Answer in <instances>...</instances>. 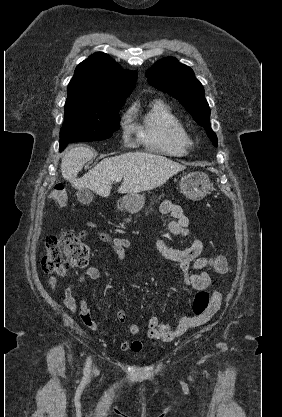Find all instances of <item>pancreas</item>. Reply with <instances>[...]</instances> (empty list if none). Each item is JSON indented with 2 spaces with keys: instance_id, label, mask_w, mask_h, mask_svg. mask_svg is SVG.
Segmentation results:
<instances>
[{
  "instance_id": "obj_1",
  "label": "pancreas",
  "mask_w": 282,
  "mask_h": 417,
  "mask_svg": "<svg viewBox=\"0 0 282 417\" xmlns=\"http://www.w3.org/2000/svg\"><path fill=\"white\" fill-rule=\"evenodd\" d=\"M161 198V196H160ZM154 202H156V200H152V202H150V204H154ZM126 221H130V219H126Z\"/></svg>"
}]
</instances>
